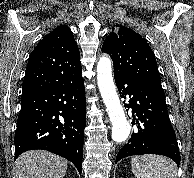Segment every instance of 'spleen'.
Listing matches in <instances>:
<instances>
[{
	"label": "spleen",
	"instance_id": "spleen-1",
	"mask_svg": "<svg viewBox=\"0 0 194 178\" xmlns=\"http://www.w3.org/2000/svg\"><path fill=\"white\" fill-rule=\"evenodd\" d=\"M131 167L136 178H177L176 164L159 155L136 156Z\"/></svg>",
	"mask_w": 194,
	"mask_h": 178
}]
</instances>
